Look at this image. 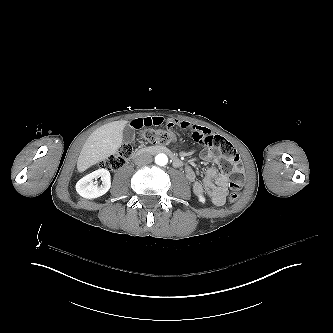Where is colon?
<instances>
[{
    "label": "colon",
    "instance_id": "1",
    "mask_svg": "<svg viewBox=\"0 0 333 333\" xmlns=\"http://www.w3.org/2000/svg\"><path fill=\"white\" fill-rule=\"evenodd\" d=\"M182 128L185 135L189 137L192 136V138L197 141V144H200L201 146H209L214 151H219L223 155L224 160L221 161L222 169L225 173L232 174V179L229 182V199L230 201L237 200L242 186V179L244 177L243 164L237 150L230 142L223 137L214 134L211 130L204 133L203 129L198 126L192 127V124L188 122L184 123ZM139 134L142 140L150 146H162L176 141V136L172 129L161 131H140ZM132 153L133 147L130 144H124L115 154L102 160L100 167L116 170L121 166L120 157L123 156L128 159ZM210 157H215V155H211Z\"/></svg>",
    "mask_w": 333,
    "mask_h": 333
}]
</instances>
